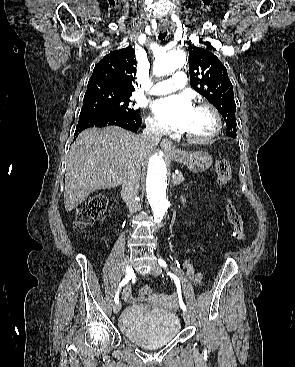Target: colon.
Masks as SVG:
<instances>
[{
    "mask_svg": "<svg viewBox=\"0 0 295 367\" xmlns=\"http://www.w3.org/2000/svg\"><path fill=\"white\" fill-rule=\"evenodd\" d=\"M215 171L217 174L218 183L221 185L227 184L231 178L230 161L227 159L217 160L215 163ZM193 199L202 205L204 203L203 201H209L211 198L209 196L197 195ZM106 205L107 200L105 196L101 194L85 199L77 208L75 215V226L78 229H83L92 224L103 214ZM196 209L198 211H205L207 208L205 206H198ZM226 213L229 223L233 226L234 238L238 241H243L245 239L243 220L231 200H227ZM151 292L152 290L148 286H144L142 288L143 294L148 295Z\"/></svg>",
    "mask_w": 295,
    "mask_h": 367,
    "instance_id": "obj_1",
    "label": "colon"
}]
</instances>
